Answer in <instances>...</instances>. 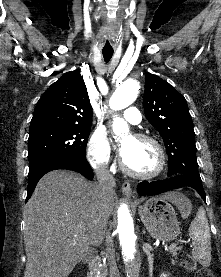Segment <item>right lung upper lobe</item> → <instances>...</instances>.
<instances>
[{
    "label": "right lung upper lobe",
    "mask_w": 221,
    "mask_h": 277,
    "mask_svg": "<svg viewBox=\"0 0 221 277\" xmlns=\"http://www.w3.org/2000/svg\"><path fill=\"white\" fill-rule=\"evenodd\" d=\"M92 123V108L83 77L78 70L65 73L39 99L30 126Z\"/></svg>",
    "instance_id": "cb5924a9"
}]
</instances>
